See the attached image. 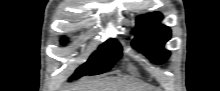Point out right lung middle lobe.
I'll return each mask as SVG.
<instances>
[{"label": "right lung middle lobe", "mask_w": 220, "mask_h": 91, "mask_svg": "<svg viewBox=\"0 0 220 91\" xmlns=\"http://www.w3.org/2000/svg\"><path fill=\"white\" fill-rule=\"evenodd\" d=\"M65 42L66 40L63 39ZM122 48L114 40H108L94 52L89 60L80 66L73 74L71 79H78L85 75H97L108 71L113 64L121 57Z\"/></svg>", "instance_id": "right-lung-middle-lobe-1"}]
</instances>
